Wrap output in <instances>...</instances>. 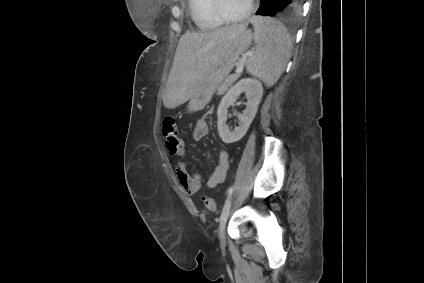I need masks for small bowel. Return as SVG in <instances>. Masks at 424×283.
Listing matches in <instances>:
<instances>
[{
    "label": "small bowel",
    "instance_id": "c3829d8e",
    "mask_svg": "<svg viewBox=\"0 0 424 283\" xmlns=\"http://www.w3.org/2000/svg\"><path fill=\"white\" fill-rule=\"evenodd\" d=\"M209 132L208 123L205 117H201L196 120L193 127V138L195 140H201ZM167 150L171 154V146L167 145ZM182 153H172V155H181ZM231 154L227 150L220 151L218 155V162L213 172L206 180V186L209 188H215L218 185L225 182L227 172L230 166ZM176 177L179 184L185 190L186 193L192 195L197 193L202 187V178L198 173L191 172L186 162L180 161L176 165L175 169Z\"/></svg>",
    "mask_w": 424,
    "mask_h": 283
}]
</instances>
